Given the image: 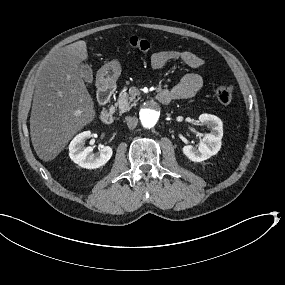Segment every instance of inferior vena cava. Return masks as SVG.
<instances>
[{"instance_id":"602c4592","label":"inferior vena cava","mask_w":285,"mask_h":285,"mask_svg":"<svg viewBox=\"0 0 285 285\" xmlns=\"http://www.w3.org/2000/svg\"><path fill=\"white\" fill-rule=\"evenodd\" d=\"M125 121L127 123V126L129 129H134L137 126L138 123V118L137 117H131V116H126Z\"/></svg>"}]
</instances>
